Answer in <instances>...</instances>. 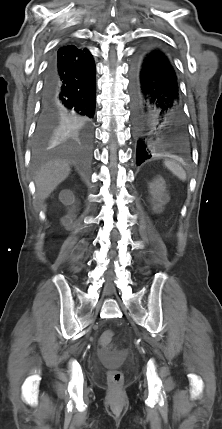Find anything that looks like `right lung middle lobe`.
<instances>
[{"label": "right lung middle lobe", "mask_w": 222, "mask_h": 429, "mask_svg": "<svg viewBox=\"0 0 222 429\" xmlns=\"http://www.w3.org/2000/svg\"><path fill=\"white\" fill-rule=\"evenodd\" d=\"M55 129L42 128L38 127L36 131V148H41L45 146L50 140L57 137V134L54 132Z\"/></svg>", "instance_id": "obj_1"}]
</instances>
